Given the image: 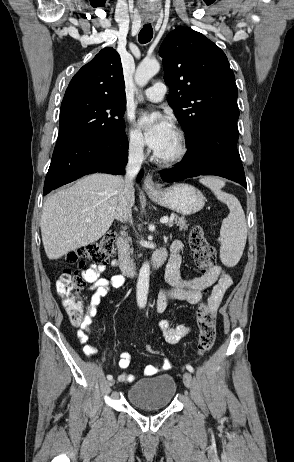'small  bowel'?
Segmentation results:
<instances>
[{"label": "small bowel", "instance_id": "small-bowel-1", "mask_svg": "<svg viewBox=\"0 0 294 462\" xmlns=\"http://www.w3.org/2000/svg\"><path fill=\"white\" fill-rule=\"evenodd\" d=\"M184 244L180 240H175L170 246V258L166 266L165 278L168 286L163 289L156 298L155 309L162 313L172 301H185L190 304H199L203 300V292L206 288L213 286L212 293L208 299L211 307L216 311L220 305L225 292L232 284L231 276L220 266L216 265L207 275L191 278H184L181 275L182 252ZM112 267H118V261L111 262ZM106 270V264H92L82 272V278L89 285L88 290L92 292L89 303L86 306L84 321L77 330V337L84 344L83 352L87 356L96 353V347L90 343L91 324L97 316V307L101 299L105 297L112 288H119L125 283L124 276L120 274L109 278L103 277L102 273ZM158 326L166 342L170 344L178 343L183 337L191 332L188 325H178L171 327L166 320H160ZM123 372L118 380L121 382H132L135 377L125 370L130 365V354L122 351L118 362ZM170 362L164 359L161 363L147 365L144 369L146 376L156 375L170 368Z\"/></svg>", "mask_w": 294, "mask_h": 462}]
</instances>
